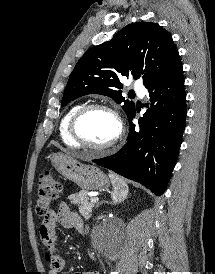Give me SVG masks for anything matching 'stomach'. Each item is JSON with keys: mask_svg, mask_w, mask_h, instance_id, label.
<instances>
[{"mask_svg": "<svg viewBox=\"0 0 215 274\" xmlns=\"http://www.w3.org/2000/svg\"><path fill=\"white\" fill-rule=\"evenodd\" d=\"M52 165L65 178L76 183L83 191L102 190L110 185L108 177L97 167L86 165L73 157L56 153L51 157ZM128 193V188L123 189V201Z\"/></svg>", "mask_w": 215, "mask_h": 274, "instance_id": "1", "label": "stomach"}]
</instances>
